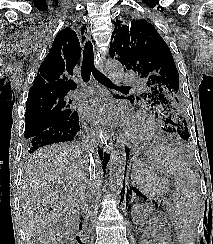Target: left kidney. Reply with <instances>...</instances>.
<instances>
[{"label":"left kidney","mask_w":213,"mask_h":244,"mask_svg":"<svg viewBox=\"0 0 213 244\" xmlns=\"http://www.w3.org/2000/svg\"><path fill=\"white\" fill-rule=\"evenodd\" d=\"M132 215L134 221L137 223L143 222L148 218L150 219L153 224L151 237L154 239L156 244H170L169 235L164 221L159 215H157L152 207L145 204H137L133 207Z\"/></svg>","instance_id":"1"}]
</instances>
